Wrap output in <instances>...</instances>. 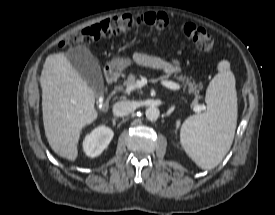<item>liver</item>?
<instances>
[{
	"label": "liver",
	"instance_id": "6515ba94",
	"mask_svg": "<svg viewBox=\"0 0 275 215\" xmlns=\"http://www.w3.org/2000/svg\"><path fill=\"white\" fill-rule=\"evenodd\" d=\"M40 84L48 143L57 155L75 161L82 129L98 117L95 93L64 53L47 57Z\"/></svg>",
	"mask_w": 275,
	"mask_h": 215
}]
</instances>
